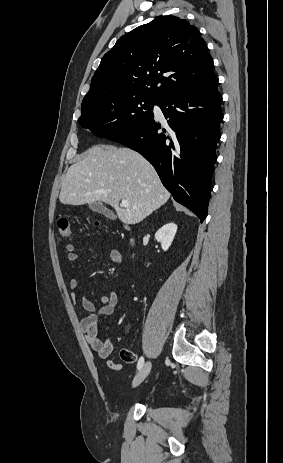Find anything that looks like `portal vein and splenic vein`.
Returning a JSON list of instances; mask_svg holds the SVG:
<instances>
[{"label": "portal vein and splenic vein", "instance_id": "18ae733b", "mask_svg": "<svg viewBox=\"0 0 283 463\" xmlns=\"http://www.w3.org/2000/svg\"><path fill=\"white\" fill-rule=\"evenodd\" d=\"M121 204H122L123 207H128L129 206V203H128L127 200H122Z\"/></svg>", "mask_w": 283, "mask_h": 463}]
</instances>
